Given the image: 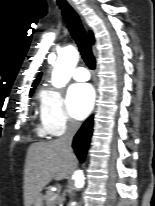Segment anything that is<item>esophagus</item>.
I'll use <instances>...</instances> for the list:
<instances>
[{
	"label": "esophagus",
	"instance_id": "34e87169",
	"mask_svg": "<svg viewBox=\"0 0 155 206\" xmlns=\"http://www.w3.org/2000/svg\"><path fill=\"white\" fill-rule=\"evenodd\" d=\"M68 3L71 5V7L76 11L78 12V8H77V5L72 1V0H67Z\"/></svg>",
	"mask_w": 155,
	"mask_h": 206
}]
</instances>
